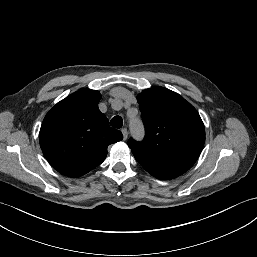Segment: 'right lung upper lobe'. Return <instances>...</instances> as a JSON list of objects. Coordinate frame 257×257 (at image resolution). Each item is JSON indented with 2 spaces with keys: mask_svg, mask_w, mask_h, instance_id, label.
Listing matches in <instances>:
<instances>
[{
  "mask_svg": "<svg viewBox=\"0 0 257 257\" xmlns=\"http://www.w3.org/2000/svg\"><path fill=\"white\" fill-rule=\"evenodd\" d=\"M98 91L81 89L59 103L45 116L39 133L41 149L58 172L79 177L100 165L108 145L122 140L98 109Z\"/></svg>",
  "mask_w": 257,
  "mask_h": 257,
  "instance_id": "right-lung-upper-lobe-1",
  "label": "right lung upper lobe"
}]
</instances>
